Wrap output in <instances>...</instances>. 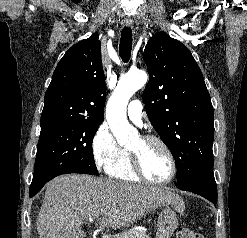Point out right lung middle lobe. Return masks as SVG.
Masks as SVG:
<instances>
[{"label": "right lung middle lobe", "mask_w": 247, "mask_h": 238, "mask_svg": "<svg viewBox=\"0 0 247 238\" xmlns=\"http://www.w3.org/2000/svg\"><path fill=\"white\" fill-rule=\"evenodd\" d=\"M99 124L81 121L41 127L30 189L65 173L98 175L92 141Z\"/></svg>", "instance_id": "dd1d6c3e"}]
</instances>
